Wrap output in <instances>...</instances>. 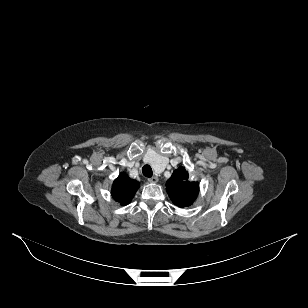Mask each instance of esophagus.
<instances>
[{
	"label": "esophagus",
	"mask_w": 308,
	"mask_h": 308,
	"mask_svg": "<svg viewBox=\"0 0 308 308\" xmlns=\"http://www.w3.org/2000/svg\"><path fill=\"white\" fill-rule=\"evenodd\" d=\"M148 181H149L150 183H157V182H158V178L155 177V176H153V177H151V178H148Z\"/></svg>",
	"instance_id": "1"
}]
</instances>
